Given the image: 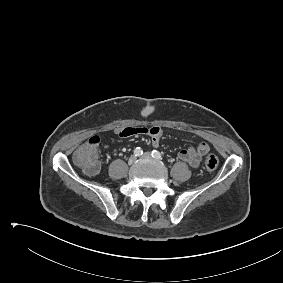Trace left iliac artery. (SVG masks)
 I'll use <instances>...</instances> for the list:
<instances>
[{
	"label": "left iliac artery",
	"instance_id": "obj_1",
	"mask_svg": "<svg viewBox=\"0 0 283 283\" xmlns=\"http://www.w3.org/2000/svg\"><path fill=\"white\" fill-rule=\"evenodd\" d=\"M151 155H152V157L155 158V159L162 160V156H161L160 152L157 151V150H153V151L151 152Z\"/></svg>",
	"mask_w": 283,
	"mask_h": 283
}]
</instances>
